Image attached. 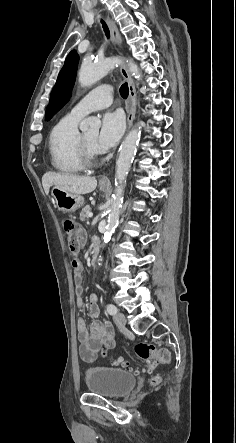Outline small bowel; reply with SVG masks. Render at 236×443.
I'll list each match as a JSON object with an SVG mask.
<instances>
[{
	"label": "small bowel",
	"mask_w": 236,
	"mask_h": 443,
	"mask_svg": "<svg viewBox=\"0 0 236 443\" xmlns=\"http://www.w3.org/2000/svg\"><path fill=\"white\" fill-rule=\"evenodd\" d=\"M82 239L84 240V237H82ZM94 246H98L97 241L94 242ZM78 262L81 266V275L79 278L74 277L75 294L77 306L79 308H83L85 306L82 287L83 265L79 259ZM87 309L92 318H97L99 316V307L97 304V297L95 295L91 296ZM77 333L78 342L80 344V355L86 361L94 360L96 352L99 349H111L115 346L112 328L106 322L96 320L92 323L91 328L88 329L85 319L79 318L77 320ZM85 354L91 355L92 358L87 359Z\"/></svg>",
	"instance_id": "1"
}]
</instances>
